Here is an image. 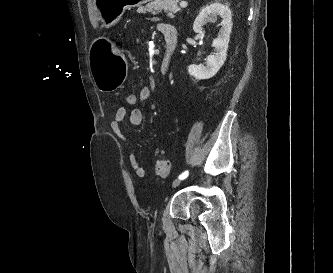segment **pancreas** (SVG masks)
Returning <instances> with one entry per match:
<instances>
[{
	"label": "pancreas",
	"instance_id": "cf45deb5",
	"mask_svg": "<svg viewBox=\"0 0 333 273\" xmlns=\"http://www.w3.org/2000/svg\"><path fill=\"white\" fill-rule=\"evenodd\" d=\"M178 1L179 0H155L144 7H140L138 12L158 13L164 10V12H166L170 18H174V14L180 11V8L178 7Z\"/></svg>",
	"mask_w": 333,
	"mask_h": 273
}]
</instances>
